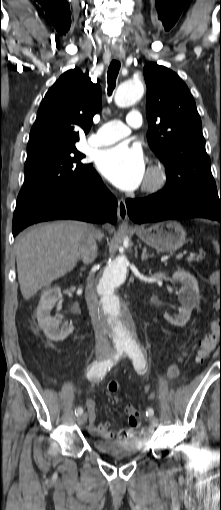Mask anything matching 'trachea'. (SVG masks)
I'll return each mask as SVG.
<instances>
[{
  "label": "trachea",
  "instance_id": "obj_1",
  "mask_svg": "<svg viewBox=\"0 0 221 510\" xmlns=\"http://www.w3.org/2000/svg\"><path fill=\"white\" fill-rule=\"evenodd\" d=\"M120 70V62L117 60H112L108 72H107V82H108V94L111 95L115 86L116 79Z\"/></svg>",
  "mask_w": 221,
  "mask_h": 510
}]
</instances>
